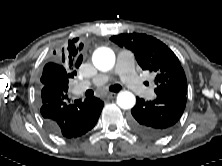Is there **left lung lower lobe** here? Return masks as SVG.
<instances>
[{
  "instance_id": "left-lung-lower-lobe-1",
  "label": "left lung lower lobe",
  "mask_w": 222,
  "mask_h": 166,
  "mask_svg": "<svg viewBox=\"0 0 222 166\" xmlns=\"http://www.w3.org/2000/svg\"><path fill=\"white\" fill-rule=\"evenodd\" d=\"M186 94L177 90H161L156 92V98L152 101L137 98L131 110L132 128L149 137L167 135L185 109Z\"/></svg>"
}]
</instances>
